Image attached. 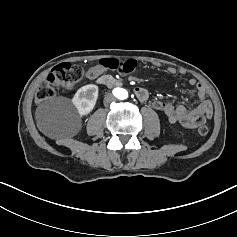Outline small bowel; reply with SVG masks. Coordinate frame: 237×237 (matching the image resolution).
Here are the masks:
<instances>
[{
    "mask_svg": "<svg viewBox=\"0 0 237 237\" xmlns=\"http://www.w3.org/2000/svg\"><path fill=\"white\" fill-rule=\"evenodd\" d=\"M106 71L107 69L98 64L87 70L85 76L88 79H96ZM168 72L174 74L176 70L169 67ZM189 84L195 86L197 89L200 104L196 108L189 110L183 105H174L170 101L157 99L152 101V106L155 110L165 115L171 124H179L182 127L194 129L212 117L213 106L211 101L207 99V92L203 84L197 82L195 79H190ZM134 94L142 103H146L150 99L149 92L143 87L135 88Z\"/></svg>",
    "mask_w": 237,
    "mask_h": 237,
    "instance_id": "1",
    "label": "small bowel"
}]
</instances>
